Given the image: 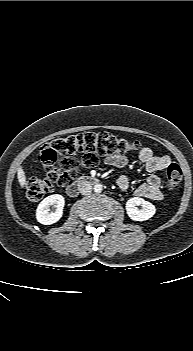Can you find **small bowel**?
I'll return each mask as SVG.
<instances>
[{"label": "small bowel", "instance_id": "c3829d8e", "mask_svg": "<svg viewBox=\"0 0 193 351\" xmlns=\"http://www.w3.org/2000/svg\"><path fill=\"white\" fill-rule=\"evenodd\" d=\"M138 157L146 171L149 172V175L146 180L135 189L134 194L138 197L160 201L163 198V194L160 188V179L156 173L163 171L169 165L170 158L167 155H155L153 150L149 147L141 148ZM104 162L107 165L121 168L128 165L129 159L123 154H112L105 156ZM117 185L120 190L126 191L129 189L130 180L127 176H121L117 180Z\"/></svg>", "mask_w": 193, "mask_h": 351}]
</instances>
